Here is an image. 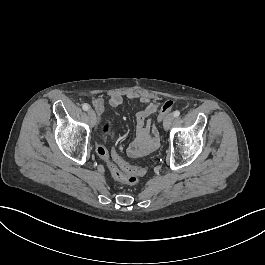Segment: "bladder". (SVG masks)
Returning <instances> with one entry per match:
<instances>
[{"label":"bladder","mask_w":265,"mask_h":265,"mask_svg":"<svg viewBox=\"0 0 265 265\" xmlns=\"http://www.w3.org/2000/svg\"><path fill=\"white\" fill-rule=\"evenodd\" d=\"M110 134H111V130L110 129L106 130V131H102V136L104 138H106V139L110 136Z\"/></svg>","instance_id":"1"}]
</instances>
